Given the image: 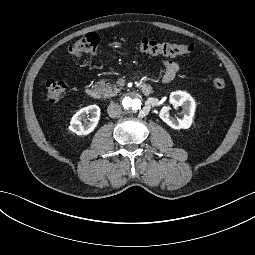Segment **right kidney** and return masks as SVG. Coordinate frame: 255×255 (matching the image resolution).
<instances>
[{"instance_id":"1","label":"right kidney","mask_w":255,"mask_h":255,"mask_svg":"<svg viewBox=\"0 0 255 255\" xmlns=\"http://www.w3.org/2000/svg\"><path fill=\"white\" fill-rule=\"evenodd\" d=\"M91 115L90 121L85 120L86 115ZM100 119V108L90 105L80 109L71 119L69 129L77 135H87L97 126ZM84 121V123H82Z\"/></svg>"}]
</instances>
